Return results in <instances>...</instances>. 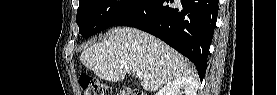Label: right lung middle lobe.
I'll list each match as a JSON object with an SVG mask.
<instances>
[{
    "mask_svg": "<svg viewBox=\"0 0 277 95\" xmlns=\"http://www.w3.org/2000/svg\"><path fill=\"white\" fill-rule=\"evenodd\" d=\"M143 0H81L76 22L79 33L89 37L112 25L133 11Z\"/></svg>",
    "mask_w": 277,
    "mask_h": 95,
    "instance_id": "right-lung-middle-lobe-1",
    "label": "right lung middle lobe"
}]
</instances>
